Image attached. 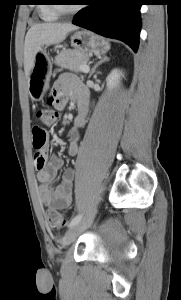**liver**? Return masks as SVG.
Listing matches in <instances>:
<instances>
[{
	"label": "liver",
	"mask_w": 181,
	"mask_h": 300,
	"mask_svg": "<svg viewBox=\"0 0 181 300\" xmlns=\"http://www.w3.org/2000/svg\"><path fill=\"white\" fill-rule=\"evenodd\" d=\"M71 23H41L33 25L27 32L24 43V71L29 79L38 48L64 41L67 34L77 30Z\"/></svg>",
	"instance_id": "6515ba94"
}]
</instances>
